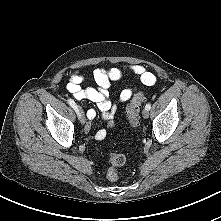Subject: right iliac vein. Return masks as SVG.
I'll return each mask as SVG.
<instances>
[{
	"mask_svg": "<svg viewBox=\"0 0 221 221\" xmlns=\"http://www.w3.org/2000/svg\"><path fill=\"white\" fill-rule=\"evenodd\" d=\"M78 116H79L80 122L84 124L86 119H85V115L81 107L78 108Z\"/></svg>",
	"mask_w": 221,
	"mask_h": 221,
	"instance_id": "right-iliac-vein-1",
	"label": "right iliac vein"
}]
</instances>
